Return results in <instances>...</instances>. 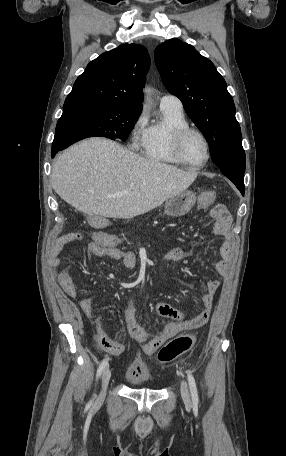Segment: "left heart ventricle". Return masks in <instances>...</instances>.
I'll list each match as a JSON object with an SVG mask.
<instances>
[{
    "label": "left heart ventricle",
    "instance_id": "left-heart-ventricle-1",
    "mask_svg": "<svg viewBox=\"0 0 286 456\" xmlns=\"http://www.w3.org/2000/svg\"><path fill=\"white\" fill-rule=\"evenodd\" d=\"M184 157L193 164H200L206 158V145L196 133L186 135L181 146Z\"/></svg>",
    "mask_w": 286,
    "mask_h": 456
}]
</instances>
